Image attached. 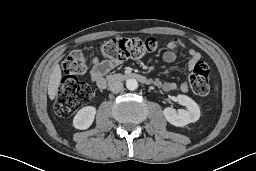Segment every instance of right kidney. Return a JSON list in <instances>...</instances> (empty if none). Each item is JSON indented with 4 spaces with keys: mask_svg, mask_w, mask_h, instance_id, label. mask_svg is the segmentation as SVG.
Returning <instances> with one entry per match:
<instances>
[{
    "mask_svg": "<svg viewBox=\"0 0 256 171\" xmlns=\"http://www.w3.org/2000/svg\"><path fill=\"white\" fill-rule=\"evenodd\" d=\"M96 108L94 106H86L80 109L73 119V125L76 129H88L95 118Z\"/></svg>",
    "mask_w": 256,
    "mask_h": 171,
    "instance_id": "ca27d5eb",
    "label": "right kidney"
}]
</instances>
